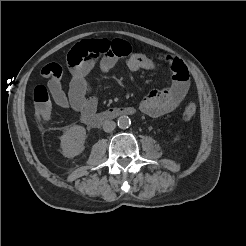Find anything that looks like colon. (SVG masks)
<instances>
[{"instance_id": "1", "label": "colon", "mask_w": 246, "mask_h": 246, "mask_svg": "<svg viewBox=\"0 0 246 246\" xmlns=\"http://www.w3.org/2000/svg\"><path fill=\"white\" fill-rule=\"evenodd\" d=\"M33 99L37 116L42 120H50L52 118V109L47 89L41 85L36 86L33 93ZM196 111L197 106L195 102H188L183 111L184 120L189 121L193 119Z\"/></svg>"}]
</instances>
